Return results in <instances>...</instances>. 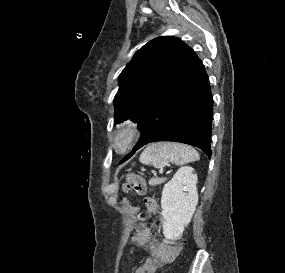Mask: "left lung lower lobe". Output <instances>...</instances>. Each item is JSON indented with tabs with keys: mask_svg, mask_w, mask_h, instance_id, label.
Returning a JSON list of instances; mask_svg holds the SVG:
<instances>
[{
	"mask_svg": "<svg viewBox=\"0 0 285 273\" xmlns=\"http://www.w3.org/2000/svg\"><path fill=\"white\" fill-rule=\"evenodd\" d=\"M212 109L213 98L208 75L202 61L191 49L174 85L138 122L140 140L121 163L136 150L155 141L191 144L199 147L210 158Z\"/></svg>",
	"mask_w": 285,
	"mask_h": 273,
	"instance_id": "left-lung-lower-lobe-1",
	"label": "left lung lower lobe"
}]
</instances>
